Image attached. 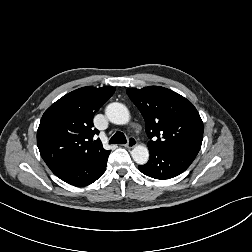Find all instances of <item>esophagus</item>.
Wrapping results in <instances>:
<instances>
[{
    "label": "esophagus",
    "mask_w": 252,
    "mask_h": 252,
    "mask_svg": "<svg viewBox=\"0 0 252 252\" xmlns=\"http://www.w3.org/2000/svg\"><path fill=\"white\" fill-rule=\"evenodd\" d=\"M137 145V140L134 137H130L128 142L124 145L127 148H133Z\"/></svg>",
    "instance_id": "34e87169"
}]
</instances>
